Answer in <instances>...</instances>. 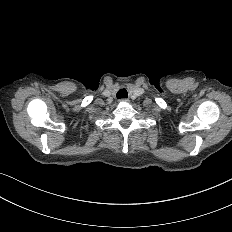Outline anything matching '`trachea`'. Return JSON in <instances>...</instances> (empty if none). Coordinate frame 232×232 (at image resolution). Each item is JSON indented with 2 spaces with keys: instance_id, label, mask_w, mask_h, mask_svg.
Instances as JSON below:
<instances>
[{
  "instance_id": "3493384b",
  "label": "trachea",
  "mask_w": 232,
  "mask_h": 232,
  "mask_svg": "<svg viewBox=\"0 0 232 232\" xmlns=\"http://www.w3.org/2000/svg\"><path fill=\"white\" fill-rule=\"evenodd\" d=\"M128 97V93L126 91V89H120L118 92H117V98L120 99V98H127Z\"/></svg>"
}]
</instances>
